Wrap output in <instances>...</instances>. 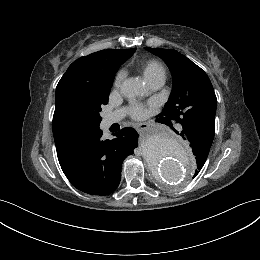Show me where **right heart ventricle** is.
<instances>
[{"label": "right heart ventricle", "instance_id": "e07e8e85", "mask_svg": "<svg viewBox=\"0 0 260 260\" xmlns=\"http://www.w3.org/2000/svg\"><path fill=\"white\" fill-rule=\"evenodd\" d=\"M140 69L148 83L158 78L164 79L166 75L164 66L155 59L143 61L140 65Z\"/></svg>", "mask_w": 260, "mask_h": 260}]
</instances>
